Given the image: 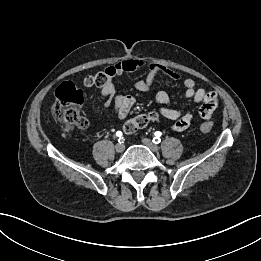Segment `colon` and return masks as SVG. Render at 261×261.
Masks as SVG:
<instances>
[{
	"instance_id": "1",
	"label": "colon",
	"mask_w": 261,
	"mask_h": 261,
	"mask_svg": "<svg viewBox=\"0 0 261 261\" xmlns=\"http://www.w3.org/2000/svg\"><path fill=\"white\" fill-rule=\"evenodd\" d=\"M105 81L106 77L102 72L94 75L96 86H102ZM82 103V92L72 82L62 83L56 91V100L51 109L52 118L66 132L74 129H83L87 126V120L82 116L80 111ZM157 118L158 114L155 111L139 114L125 122L124 131L127 134L135 133ZM212 127L211 122H204L200 125V131L202 133H209Z\"/></svg>"
}]
</instances>
